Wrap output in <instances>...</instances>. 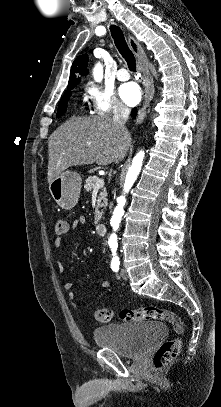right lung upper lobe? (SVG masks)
Instances as JSON below:
<instances>
[{
	"label": "right lung upper lobe",
	"mask_w": 221,
	"mask_h": 407,
	"mask_svg": "<svg viewBox=\"0 0 221 407\" xmlns=\"http://www.w3.org/2000/svg\"><path fill=\"white\" fill-rule=\"evenodd\" d=\"M88 56L86 54L78 56L71 67V75L69 78L68 88L73 89L77 84L80 83V75L87 74Z\"/></svg>",
	"instance_id": "cb5924a9"
}]
</instances>
